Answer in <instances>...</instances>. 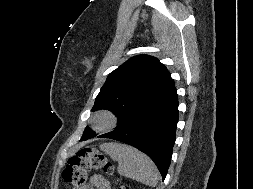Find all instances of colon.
Returning a JSON list of instances; mask_svg holds the SVG:
<instances>
[{
	"label": "colon",
	"instance_id": "colon-1",
	"mask_svg": "<svg viewBox=\"0 0 253 189\" xmlns=\"http://www.w3.org/2000/svg\"><path fill=\"white\" fill-rule=\"evenodd\" d=\"M90 170H101L112 175L115 172L111 161L100 150L94 147H85L72 155L63 170V179L72 189H82ZM119 189H129L121 185Z\"/></svg>",
	"mask_w": 253,
	"mask_h": 189
}]
</instances>
